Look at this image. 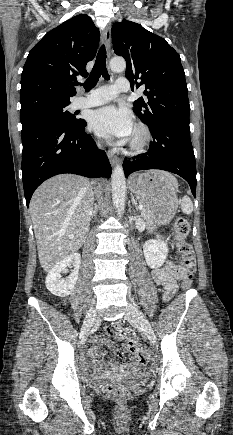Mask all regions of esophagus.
<instances>
[{
	"label": "esophagus",
	"mask_w": 233,
	"mask_h": 435,
	"mask_svg": "<svg viewBox=\"0 0 233 435\" xmlns=\"http://www.w3.org/2000/svg\"><path fill=\"white\" fill-rule=\"evenodd\" d=\"M102 40H103V42L105 44L108 58H110V53H111V25L110 24H108L105 27V29L103 30V32H102ZM107 156L109 158V161H110L111 165L115 166L117 164V162H118V159H117L116 155L113 152L108 151L107 152Z\"/></svg>",
	"instance_id": "obj_1"
}]
</instances>
